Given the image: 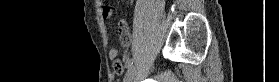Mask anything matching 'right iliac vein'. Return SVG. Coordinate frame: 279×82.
Masks as SVG:
<instances>
[{
  "instance_id": "1",
  "label": "right iliac vein",
  "mask_w": 279,
  "mask_h": 82,
  "mask_svg": "<svg viewBox=\"0 0 279 82\" xmlns=\"http://www.w3.org/2000/svg\"><path fill=\"white\" fill-rule=\"evenodd\" d=\"M136 74V70L135 68H130L128 70V72L126 73L125 77H124V81L123 82H132L133 78L135 77Z\"/></svg>"
}]
</instances>
